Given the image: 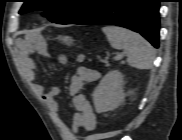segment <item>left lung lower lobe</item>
Returning a JSON list of instances; mask_svg holds the SVG:
<instances>
[{"instance_id": "left-lung-lower-lobe-1", "label": "left lung lower lobe", "mask_w": 182, "mask_h": 140, "mask_svg": "<svg viewBox=\"0 0 182 140\" xmlns=\"http://www.w3.org/2000/svg\"><path fill=\"white\" fill-rule=\"evenodd\" d=\"M161 0H101L90 12L71 24L117 25L140 33L159 47Z\"/></svg>"}]
</instances>
